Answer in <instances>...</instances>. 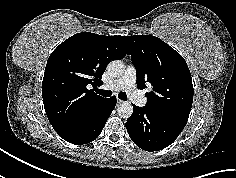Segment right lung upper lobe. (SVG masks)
I'll use <instances>...</instances> for the list:
<instances>
[{
  "label": "right lung upper lobe",
  "mask_w": 236,
  "mask_h": 178,
  "mask_svg": "<svg viewBox=\"0 0 236 178\" xmlns=\"http://www.w3.org/2000/svg\"><path fill=\"white\" fill-rule=\"evenodd\" d=\"M129 53L125 36L78 33L62 42L50 55L42 81V97L47 117L62 130L90 116L107 99L93 88L110 60Z\"/></svg>",
  "instance_id": "1"
}]
</instances>
